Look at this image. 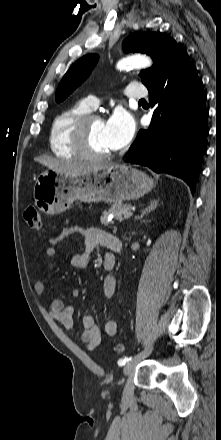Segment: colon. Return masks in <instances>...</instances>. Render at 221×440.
Returning <instances> with one entry per match:
<instances>
[{"mask_svg": "<svg viewBox=\"0 0 221 440\" xmlns=\"http://www.w3.org/2000/svg\"><path fill=\"white\" fill-rule=\"evenodd\" d=\"M25 220L28 226L32 229L39 230L42 228V219L40 212L37 207L29 206L24 213ZM124 350V346L120 343H117L113 346V351L115 353H122Z\"/></svg>", "mask_w": 221, "mask_h": 440, "instance_id": "colon-1", "label": "colon"}]
</instances>
